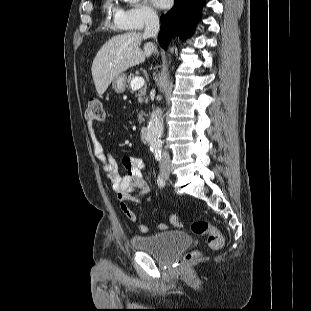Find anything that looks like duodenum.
<instances>
[{
	"label": "duodenum",
	"mask_w": 311,
	"mask_h": 311,
	"mask_svg": "<svg viewBox=\"0 0 311 311\" xmlns=\"http://www.w3.org/2000/svg\"><path fill=\"white\" fill-rule=\"evenodd\" d=\"M139 133L142 142L146 143L148 141V128L146 126L141 127Z\"/></svg>",
	"instance_id": "1"
}]
</instances>
